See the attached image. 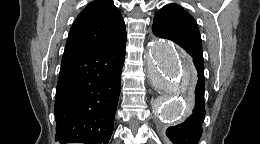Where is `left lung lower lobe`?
I'll return each instance as SVG.
<instances>
[{"label": "left lung lower lobe", "instance_id": "0a47b994", "mask_svg": "<svg viewBox=\"0 0 260 144\" xmlns=\"http://www.w3.org/2000/svg\"><path fill=\"white\" fill-rule=\"evenodd\" d=\"M192 58L198 62L203 57L202 50L193 46H181ZM204 77L199 76L195 88L190 93V102L193 110L187 119L176 125L168 127L166 135L173 144H197L202 135V124L205 117L204 107Z\"/></svg>", "mask_w": 260, "mask_h": 144}]
</instances>
